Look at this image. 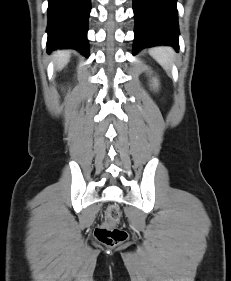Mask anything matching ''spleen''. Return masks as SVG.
<instances>
[{"label":"spleen","instance_id":"spleen-1","mask_svg":"<svg viewBox=\"0 0 231 281\" xmlns=\"http://www.w3.org/2000/svg\"><path fill=\"white\" fill-rule=\"evenodd\" d=\"M152 57L166 70L170 69L174 60V51L170 47L158 46L150 50Z\"/></svg>","mask_w":231,"mask_h":281}]
</instances>
